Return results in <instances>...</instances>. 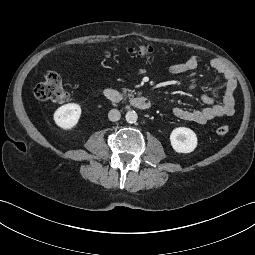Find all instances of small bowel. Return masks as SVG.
<instances>
[{"mask_svg": "<svg viewBox=\"0 0 255 255\" xmlns=\"http://www.w3.org/2000/svg\"><path fill=\"white\" fill-rule=\"evenodd\" d=\"M210 67L222 75L224 79V95L221 103L216 102L211 92L202 94L201 99L206 107L201 109L189 110L176 107L173 110L175 117L198 124H205L215 118L223 116H231L235 112V91L237 88V80L232 71L219 59H212L209 63ZM199 66V61L195 56H191L184 61L175 63L170 66L171 74L179 75L187 72L195 71Z\"/></svg>", "mask_w": 255, "mask_h": 255, "instance_id": "obj_1", "label": "small bowel"}]
</instances>
